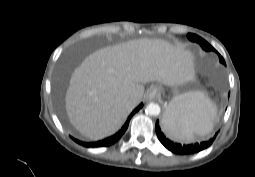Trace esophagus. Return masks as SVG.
<instances>
[{
    "label": "esophagus",
    "mask_w": 255,
    "mask_h": 177,
    "mask_svg": "<svg viewBox=\"0 0 255 177\" xmlns=\"http://www.w3.org/2000/svg\"><path fill=\"white\" fill-rule=\"evenodd\" d=\"M158 94L159 90L156 87H153L149 90L148 99L149 100L155 99L158 96Z\"/></svg>",
    "instance_id": "34e87169"
}]
</instances>
